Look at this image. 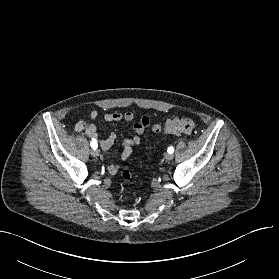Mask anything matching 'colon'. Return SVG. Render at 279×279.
<instances>
[{
  "label": "colon",
  "mask_w": 279,
  "mask_h": 279,
  "mask_svg": "<svg viewBox=\"0 0 279 279\" xmlns=\"http://www.w3.org/2000/svg\"><path fill=\"white\" fill-rule=\"evenodd\" d=\"M154 132L168 133V134H191L197 129V122L191 118H174L167 120L164 124H155L152 127ZM124 180H130L132 175L128 170H124L121 173ZM121 195L123 197L128 195L127 189L121 190Z\"/></svg>",
  "instance_id": "5ec220e1"
}]
</instances>
